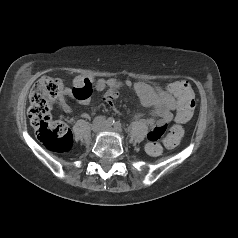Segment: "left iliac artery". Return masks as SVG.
<instances>
[{
	"instance_id": "left-iliac-artery-1",
	"label": "left iliac artery",
	"mask_w": 238,
	"mask_h": 238,
	"mask_svg": "<svg viewBox=\"0 0 238 238\" xmlns=\"http://www.w3.org/2000/svg\"><path fill=\"white\" fill-rule=\"evenodd\" d=\"M114 128L116 129V130H118V131H120L121 130V123L120 122H115V124H114Z\"/></svg>"
}]
</instances>
